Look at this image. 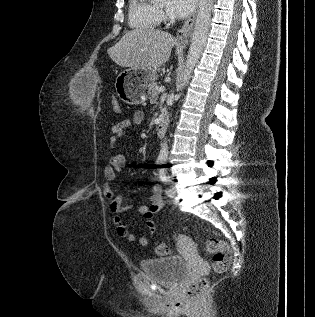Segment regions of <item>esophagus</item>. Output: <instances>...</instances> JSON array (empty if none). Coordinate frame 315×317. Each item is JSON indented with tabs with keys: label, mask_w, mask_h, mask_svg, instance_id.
<instances>
[{
	"label": "esophagus",
	"mask_w": 315,
	"mask_h": 317,
	"mask_svg": "<svg viewBox=\"0 0 315 317\" xmlns=\"http://www.w3.org/2000/svg\"><path fill=\"white\" fill-rule=\"evenodd\" d=\"M197 12L195 11L183 24V26L177 32V39L183 46L188 44V41L191 37L195 20H196Z\"/></svg>",
	"instance_id": "34e87169"
}]
</instances>
